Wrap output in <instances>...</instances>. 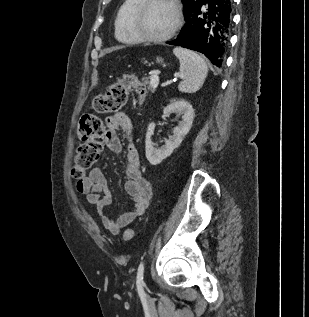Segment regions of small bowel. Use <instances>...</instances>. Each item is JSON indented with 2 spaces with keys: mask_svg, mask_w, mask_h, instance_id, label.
Masks as SVG:
<instances>
[{
  "mask_svg": "<svg viewBox=\"0 0 309 317\" xmlns=\"http://www.w3.org/2000/svg\"><path fill=\"white\" fill-rule=\"evenodd\" d=\"M105 123L107 131L104 142L109 150L117 154L122 152L118 130H121L130 141L126 152L124 189L132 206L116 219H112L105 213L112 197L107 179L98 167L93 168L88 176L79 180L76 187L77 191L86 197L88 203L95 206L104 227L111 233L117 234L145 212L152 197V188L142 174L138 150L131 142L132 123L129 116L118 112L106 117Z\"/></svg>",
  "mask_w": 309,
  "mask_h": 317,
  "instance_id": "small-bowel-1",
  "label": "small bowel"
}]
</instances>
